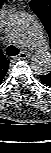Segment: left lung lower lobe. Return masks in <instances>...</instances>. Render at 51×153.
Segmentation results:
<instances>
[{
  "label": "left lung lower lobe",
  "mask_w": 51,
  "mask_h": 153,
  "mask_svg": "<svg viewBox=\"0 0 51 153\" xmlns=\"http://www.w3.org/2000/svg\"><path fill=\"white\" fill-rule=\"evenodd\" d=\"M43 76H44V75H43ZM40 79H41V81H42L43 83H45L46 85H48V86L51 87V83H47L46 80H45L42 76H40Z\"/></svg>",
  "instance_id": "obj_1"
}]
</instances>
